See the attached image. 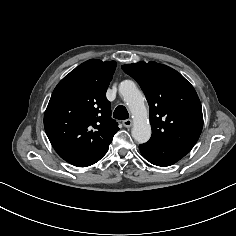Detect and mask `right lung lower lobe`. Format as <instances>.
Here are the masks:
<instances>
[{"instance_id": "98d812e1", "label": "right lung lower lobe", "mask_w": 236, "mask_h": 236, "mask_svg": "<svg viewBox=\"0 0 236 236\" xmlns=\"http://www.w3.org/2000/svg\"><path fill=\"white\" fill-rule=\"evenodd\" d=\"M108 148L98 154L93 155H82L73 153H58L68 163L77 167H86L98 162L107 152Z\"/></svg>"}]
</instances>
